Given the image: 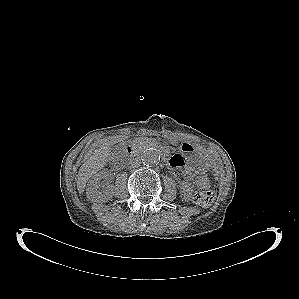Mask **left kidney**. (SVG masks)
I'll return each mask as SVG.
<instances>
[{"mask_svg": "<svg viewBox=\"0 0 299 299\" xmlns=\"http://www.w3.org/2000/svg\"><path fill=\"white\" fill-rule=\"evenodd\" d=\"M191 192H192V190H191L190 184L187 183V182H183L182 186H181V193H182L185 200L190 199Z\"/></svg>", "mask_w": 299, "mask_h": 299, "instance_id": "obj_1", "label": "left kidney"}]
</instances>
